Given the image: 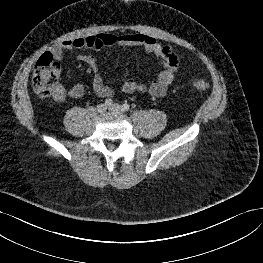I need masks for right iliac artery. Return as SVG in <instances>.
<instances>
[{"label": "right iliac artery", "mask_w": 263, "mask_h": 263, "mask_svg": "<svg viewBox=\"0 0 263 263\" xmlns=\"http://www.w3.org/2000/svg\"><path fill=\"white\" fill-rule=\"evenodd\" d=\"M112 103H113V100L110 99V98L105 100V105H106V106H111Z\"/></svg>", "instance_id": "1"}]
</instances>
